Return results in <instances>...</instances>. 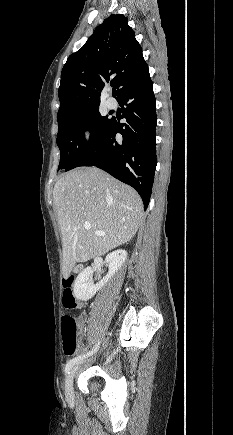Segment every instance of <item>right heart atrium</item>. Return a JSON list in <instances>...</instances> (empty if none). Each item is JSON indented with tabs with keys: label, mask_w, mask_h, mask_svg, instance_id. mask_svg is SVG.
I'll use <instances>...</instances> for the list:
<instances>
[{
	"label": "right heart atrium",
	"mask_w": 233,
	"mask_h": 435,
	"mask_svg": "<svg viewBox=\"0 0 233 435\" xmlns=\"http://www.w3.org/2000/svg\"><path fill=\"white\" fill-rule=\"evenodd\" d=\"M85 138L87 141H90L93 138V129L89 125L85 127Z\"/></svg>",
	"instance_id": "obj_1"
}]
</instances>
